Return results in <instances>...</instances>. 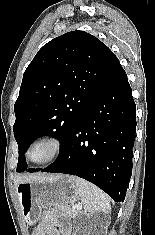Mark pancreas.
Masks as SVG:
<instances>
[{"label":"pancreas","mask_w":155,"mask_h":235,"mask_svg":"<svg viewBox=\"0 0 155 235\" xmlns=\"http://www.w3.org/2000/svg\"><path fill=\"white\" fill-rule=\"evenodd\" d=\"M61 209L71 218H75L78 215V211L73 210L69 206H62Z\"/></svg>","instance_id":"cf45deb5"}]
</instances>
